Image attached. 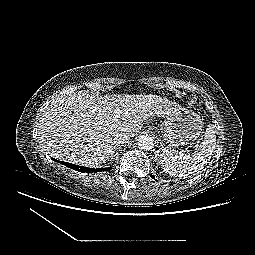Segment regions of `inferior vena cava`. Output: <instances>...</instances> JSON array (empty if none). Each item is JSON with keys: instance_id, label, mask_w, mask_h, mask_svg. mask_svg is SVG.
Segmentation results:
<instances>
[{"instance_id": "602c4592", "label": "inferior vena cava", "mask_w": 255, "mask_h": 255, "mask_svg": "<svg viewBox=\"0 0 255 255\" xmlns=\"http://www.w3.org/2000/svg\"><path fill=\"white\" fill-rule=\"evenodd\" d=\"M130 139V136L127 133H118L115 136V144L118 146L120 144L127 143Z\"/></svg>"}]
</instances>
